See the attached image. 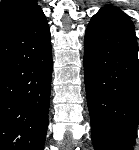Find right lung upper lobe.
I'll use <instances>...</instances> for the list:
<instances>
[{
  "mask_svg": "<svg viewBox=\"0 0 139 150\" xmlns=\"http://www.w3.org/2000/svg\"><path fill=\"white\" fill-rule=\"evenodd\" d=\"M40 10L36 0H2L0 3V33L23 22Z\"/></svg>",
  "mask_w": 139,
  "mask_h": 150,
  "instance_id": "1",
  "label": "right lung upper lobe"
}]
</instances>
